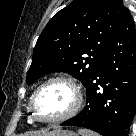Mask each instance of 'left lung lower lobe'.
I'll return each instance as SVG.
<instances>
[{"mask_svg": "<svg viewBox=\"0 0 136 136\" xmlns=\"http://www.w3.org/2000/svg\"><path fill=\"white\" fill-rule=\"evenodd\" d=\"M86 88L83 111L61 125L84 127L102 136H128L136 111V33L129 12Z\"/></svg>", "mask_w": 136, "mask_h": 136, "instance_id": "1", "label": "left lung lower lobe"}]
</instances>
